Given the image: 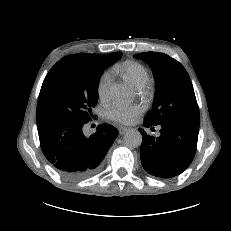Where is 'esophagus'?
Listing matches in <instances>:
<instances>
[{
  "label": "esophagus",
  "mask_w": 231,
  "mask_h": 231,
  "mask_svg": "<svg viewBox=\"0 0 231 231\" xmlns=\"http://www.w3.org/2000/svg\"><path fill=\"white\" fill-rule=\"evenodd\" d=\"M127 130H128V128H126V127H120V128H119V133H120V135L125 134V133L127 132Z\"/></svg>",
  "instance_id": "34e87169"
}]
</instances>
